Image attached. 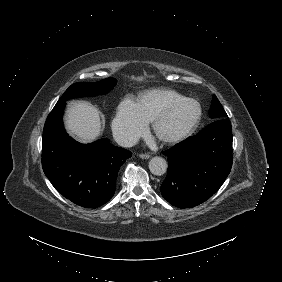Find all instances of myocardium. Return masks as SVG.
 Returning a JSON list of instances; mask_svg holds the SVG:
<instances>
[{
  "mask_svg": "<svg viewBox=\"0 0 282 282\" xmlns=\"http://www.w3.org/2000/svg\"><path fill=\"white\" fill-rule=\"evenodd\" d=\"M194 102L192 99L187 97H181L180 99L170 103L162 112L154 120V131L157 137L169 144L177 143L184 140L198 125L201 119V109L199 105L198 112L195 117H193L188 123H186L180 130L173 134H166L163 131V124L165 123L166 119L178 108L183 106L185 103ZM195 103V102H194Z\"/></svg>",
  "mask_w": 282,
  "mask_h": 282,
  "instance_id": "1",
  "label": "myocardium"
}]
</instances>
